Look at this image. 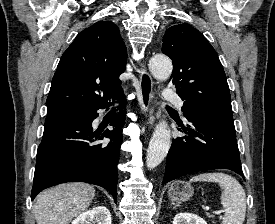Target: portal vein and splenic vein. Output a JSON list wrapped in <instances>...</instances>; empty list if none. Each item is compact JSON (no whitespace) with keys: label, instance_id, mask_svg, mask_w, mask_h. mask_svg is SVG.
Masks as SVG:
<instances>
[{"label":"portal vein and splenic vein","instance_id":"portal-vein-and-splenic-vein-1","mask_svg":"<svg viewBox=\"0 0 275 224\" xmlns=\"http://www.w3.org/2000/svg\"><path fill=\"white\" fill-rule=\"evenodd\" d=\"M204 209L206 210V211H209V207L208 206H206V207H204ZM222 211H214L213 213H215V214H220Z\"/></svg>","mask_w":275,"mask_h":224}]
</instances>
